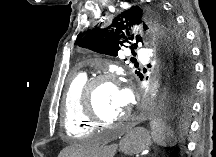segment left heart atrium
Segmentation results:
<instances>
[{
  "label": "left heart atrium",
  "mask_w": 216,
  "mask_h": 157,
  "mask_svg": "<svg viewBox=\"0 0 216 157\" xmlns=\"http://www.w3.org/2000/svg\"><path fill=\"white\" fill-rule=\"evenodd\" d=\"M118 104L121 107H128L132 101V95L128 88H117Z\"/></svg>",
  "instance_id": "1"
}]
</instances>
